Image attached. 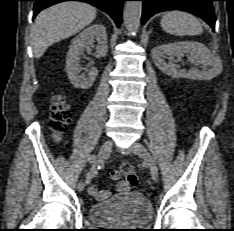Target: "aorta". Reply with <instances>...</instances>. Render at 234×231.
Returning <instances> with one entry per match:
<instances>
[{"label":"aorta","instance_id":"obj_1","mask_svg":"<svg viewBox=\"0 0 234 231\" xmlns=\"http://www.w3.org/2000/svg\"><path fill=\"white\" fill-rule=\"evenodd\" d=\"M142 1H127L124 7V24L128 31L136 32L140 26Z\"/></svg>","mask_w":234,"mask_h":231}]
</instances>
